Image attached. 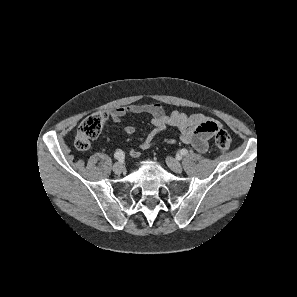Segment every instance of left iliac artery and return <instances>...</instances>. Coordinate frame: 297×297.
Returning <instances> with one entry per match:
<instances>
[{
	"instance_id": "44dca946",
	"label": "left iliac artery",
	"mask_w": 297,
	"mask_h": 297,
	"mask_svg": "<svg viewBox=\"0 0 297 297\" xmlns=\"http://www.w3.org/2000/svg\"><path fill=\"white\" fill-rule=\"evenodd\" d=\"M180 154H181L182 156H186V155L188 154V150H187V149H181V150H180Z\"/></svg>"
}]
</instances>
